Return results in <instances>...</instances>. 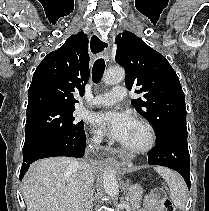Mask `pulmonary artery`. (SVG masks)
<instances>
[{
	"label": "pulmonary artery",
	"instance_id": "pulmonary-artery-1",
	"mask_svg": "<svg viewBox=\"0 0 209 211\" xmlns=\"http://www.w3.org/2000/svg\"><path fill=\"white\" fill-rule=\"evenodd\" d=\"M127 95L124 86H115L110 92L96 96L90 103L91 106L103 107L113 105L123 100Z\"/></svg>",
	"mask_w": 209,
	"mask_h": 211
}]
</instances>
